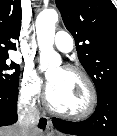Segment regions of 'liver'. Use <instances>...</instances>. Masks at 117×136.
Instances as JSON below:
<instances>
[{
  "label": "liver",
  "mask_w": 117,
  "mask_h": 136,
  "mask_svg": "<svg viewBox=\"0 0 117 136\" xmlns=\"http://www.w3.org/2000/svg\"><path fill=\"white\" fill-rule=\"evenodd\" d=\"M22 132L19 125H13L0 128V136H21ZM38 131L30 133V136H39Z\"/></svg>",
  "instance_id": "1"
}]
</instances>
